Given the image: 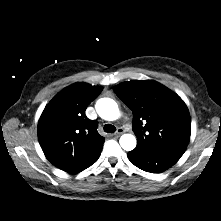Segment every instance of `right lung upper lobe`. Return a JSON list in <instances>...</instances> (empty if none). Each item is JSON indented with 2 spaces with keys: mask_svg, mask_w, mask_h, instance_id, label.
Returning a JSON list of instances; mask_svg holds the SVG:
<instances>
[{
  "mask_svg": "<svg viewBox=\"0 0 221 221\" xmlns=\"http://www.w3.org/2000/svg\"><path fill=\"white\" fill-rule=\"evenodd\" d=\"M101 91L98 86L75 83L45 107L38 123V139L46 158L59 169L79 173L99 158L104 137L85 110Z\"/></svg>",
  "mask_w": 221,
  "mask_h": 221,
  "instance_id": "cb5924a9",
  "label": "right lung upper lobe"
}]
</instances>
